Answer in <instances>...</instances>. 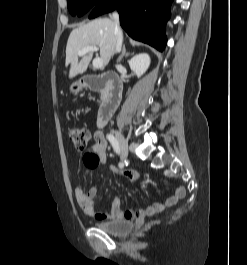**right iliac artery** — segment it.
I'll use <instances>...</instances> for the list:
<instances>
[{
	"label": "right iliac artery",
	"mask_w": 247,
	"mask_h": 265,
	"mask_svg": "<svg viewBox=\"0 0 247 265\" xmlns=\"http://www.w3.org/2000/svg\"><path fill=\"white\" fill-rule=\"evenodd\" d=\"M107 139L109 140V142L113 146V148L116 151V153L119 154L120 153V149H119V145H118L117 139L112 134H107ZM119 167L120 168H123L124 167V163L123 162H120L119 163Z\"/></svg>",
	"instance_id": "right-iliac-artery-1"
}]
</instances>
